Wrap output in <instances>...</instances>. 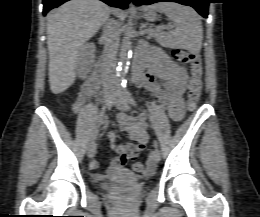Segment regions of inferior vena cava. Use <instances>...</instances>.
<instances>
[{
	"instance_id": "602c4592",
	"label": "inferior vena cava",
	"mask_w": 260,
	"mask_h": 217,
	"mask_svg": "<svg viewBox=\"0 0 260 217\" xmlns=\"http://www.w3.org/2000/svg\"><path fill=\"white\" fill-rule=\"evenodd\" d=\"M121 33V23L109 19L103 28L104 51L102 60V82L104 87L116 84V56Z\"/></svg>"
}]
</instances>
